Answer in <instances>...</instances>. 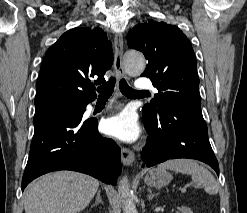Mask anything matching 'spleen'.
Returning <instances> with one entry per match:
<instances>
[{
	"label": "spleen",
	"mask_w": 247,
	"mask_h": 213,
	"mask_svg": "<svg viewBox=\"0 0 247 213\" xmlns=\"http://www.w3.org/2000/svg\"><path fill=\"white\" fill-rule=\"evenodd\" d=\"M158 169H168L182 174H189L195 184L204 186L210 195L218 193L219 185L214 176L196 161L189 159L168 160L158 165Z\"/></svg>",
	"instance_id": "obj_1"
}]
</instances>
